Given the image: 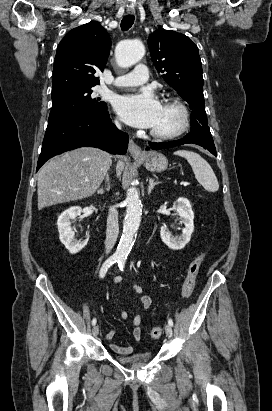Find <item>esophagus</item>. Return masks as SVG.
Segmentation results:
<instances>
[{
  "label": "esophagus",
  "instance_id": "esophagus-1",
  "mask_svg": "<svg viewBox=\"0 0 272 411\" xmlns=\"http://www.w3.org/2000/svg\"><path fill=\"white\" fill-rule=\"evenodd\" d=\"M134 12H135V10H134L133 7H128L126 9L127 14H134ZM128 149H129L130 154L134 157L143 156V152H142L141 148L132 139L129 141Z\"/></svg>",
  "mask_w": 272,
  "mask_h": 411
}]
</instances>
